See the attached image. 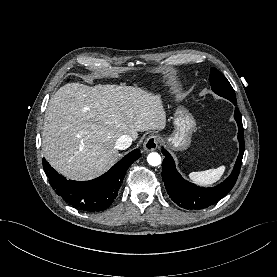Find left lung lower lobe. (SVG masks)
Here are the masks:
<instances>
[{
	"mask_svg": "<svg viewBox=\"0 0 277 277\" xmlns=\"http://www.w3.org/2000/svg\"><path fill=\"white\" fill-rule=\"evenodd\" d=\"M234 104V103H233ZM236 105V103L234 104ZM234 118L238 124L240 152L231 175L221 184L212 188L198 187L182 178L175 167L172 156L162 149L165 158L162 164V179L169 197L180 207L189 210L207 208L224 197L234 186L244 154V134L239 109L235 108Z\"/></svg>",
	"mask_w": 277,
	"mask_h": 277,
	"instance_id": "0a47b994",
	"label": "left lung lower lobe"
}]
</instances>
